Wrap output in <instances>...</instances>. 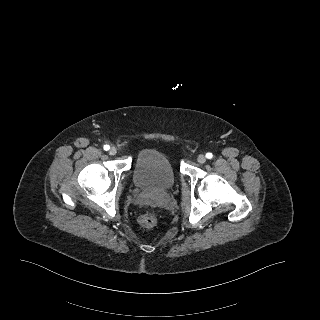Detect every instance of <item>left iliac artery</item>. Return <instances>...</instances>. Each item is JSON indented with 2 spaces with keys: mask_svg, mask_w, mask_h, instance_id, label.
Wrapping results in <instances>:
<instances>
[{
  "mask_svg": "<svg viewBox=\"0 0 320 320\" xmlns=\"http://www.w3.org/2000/svg\"><path fill=\"white\" fill-rule=\"evenodd\" d=\"M213 157V154L212 153H206V158H208V159H211Z\"/></svg>",
  "mask_w": 320,
  "mask_h": 320,
  "instance_id": "left-iliac-artery-1",
  "label": "left iliac artery"
}]
</instances>
